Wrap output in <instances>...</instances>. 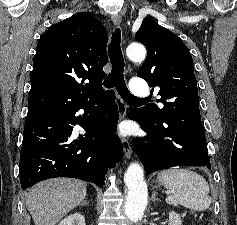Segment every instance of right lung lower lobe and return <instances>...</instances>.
<instances>
[{
    "mask_svg": "<svg viewBox=\"0 0 237 225\" xmlns=\"http://www.w3.org/2000/svg\"><path fill=\"white\" fill-rule=\"evenodd\" d=\"M80 109L89 115H77ZM118 119L113 91L72 105L28 113L20 153L21 187L26 189L54 177L104 185L107 169L114 167L123 154L120 139L114 134ZM76 124L86 134L77 136Z\"/></svg>",
    "mask_w": 237,
    "mask_h": 225,
    "instance_id": "1",
    "label": "right lung lower lobe"
}]
</instances>
